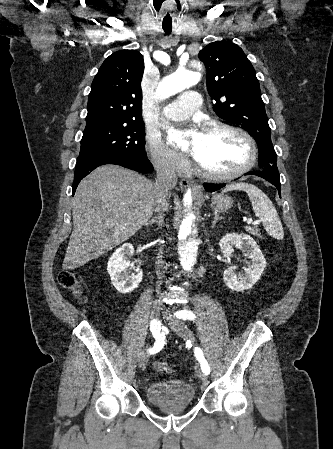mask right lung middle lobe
I'll return each mask as SVG.
<instances>
[{
  "label": "right lung middle lobe",
  "instance_id": "dd1d6c3e",
  "mask_svg": "<svg viewBox=\"0 0 333 449\" xmlns=\"http://www.w3.org/2000/svg\"><path fill=\"white\" fill-rule=\"evenodd\" d=\"M92 155L121 156L129 159L147 158L143 122L86 127L79 156Z\"/></svg>",
  "mask_w": 333,
  "mask_h": 449
}]
</instances>
